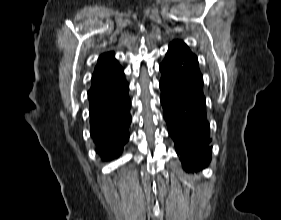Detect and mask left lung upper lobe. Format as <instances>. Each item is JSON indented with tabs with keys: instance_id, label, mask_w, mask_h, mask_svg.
<instances>
[{
	"instance_id": "5c2ea615",
	"label": "left lung upper lobe",
	"mask_w": 281,
	"mask_h": 220,
	"mask_svg": "<svg viewBox=\"0 0 281 220\" xmlns=\"http://www.w3.org/2000/svg\"><path fill=\"white\" fill-rule=\"evenodd\" d=\"M178 47L185 48V49H189L185 43L176 40V41H173V42L170 44L169 50H170V49H173V48H178Z\"/></svg>"
}]
</instances>
